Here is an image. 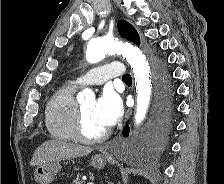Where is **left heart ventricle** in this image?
I'll return each instance as SVG.
<instances>
[{
	"label": "left heart ventricle",
	"mask_w": 224,
	"mask_h": 184,
	"mask_svg": "<svg viewBox=\"0 0 224 184\" xmlns=\"http://www.w3.org/2000/svg\"><path fill=\"white\" fill-rule=\"evenodd\" d=\"M94 104V100H86L80 104L83 111L84 132L90 137L98 136L106 131V128L103 127L94 116Z\"/></svg>",
	"instance_id": "b2bd125f"
}]
</instances>
